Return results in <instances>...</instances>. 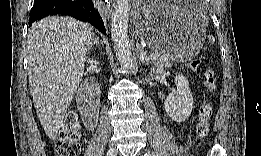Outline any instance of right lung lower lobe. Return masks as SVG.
Instances as JSON below:
<instances>
[{
	"mask_svg": "<svg viewBox=\"0 0 261 156\" xmlns=\"http://www.w3.org/2000/svg\"><path fill=\"white\" fill-rule=\"evenodd\" d=\"M67 15L91 23L106 34L104 22L91 0H35L29 24L48 15Z\"/></svg>",
	"mask_w": 261,
	"mask_h": 156,
	"instance_id": "98d812e1",
	"label": "right lung lower lobe"
}]
</instances>
